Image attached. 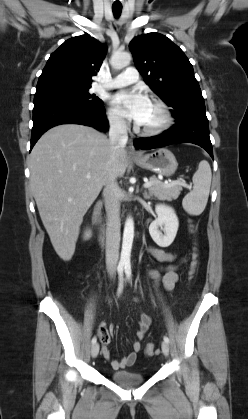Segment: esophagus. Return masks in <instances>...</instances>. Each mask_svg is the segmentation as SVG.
<instances>
[{
	"mask_svg": "<svg viewBox=\"0 0 248 419\" xmlns=\"http://www.w3.org/2000/svg\"><path fill=\"white\" fill-rule=\"evenodd\" d=\"M127 153L130 157H138L141 155L138 151L135 150L131 139L128 142Z\"/></svg>",
	"mask_w": 248,
	"mask_h": 419,
	"instance_id": "1",
	"label": "esophagus"
}]
</instances>
